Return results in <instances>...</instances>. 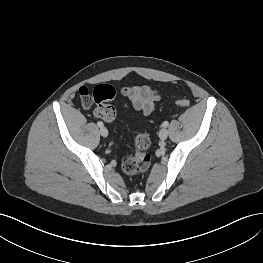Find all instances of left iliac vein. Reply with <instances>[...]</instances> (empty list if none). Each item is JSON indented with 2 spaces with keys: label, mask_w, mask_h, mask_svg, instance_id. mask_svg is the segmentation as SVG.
Segmentation results:
<instances>
[{
  "label": "left iliac vein",
  "mask_w": 263,
  "mask_h": 263,
  "mask_svg": "<svg viewBox=\"0 0 263 263\" xmlns=\"http://www.w3.org/2000/svg\"><path fill=\"white\" fill-rule=\"evenodd\" d=\"M168 137V130L166 128H162L160 131H159V138L161 140H165L166 138Z\"/></svg>",
  "instance_id": "obj_1"
}]
</instances>
